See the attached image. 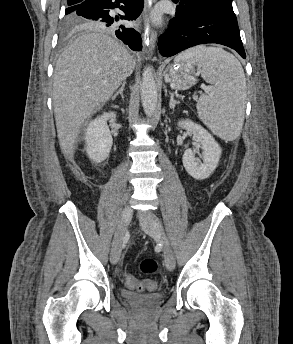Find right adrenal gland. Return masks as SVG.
<instances>
[{
	"mask_svg": "<svg viewBox=\"0 0 293 344\" xmlns=\"http://www.w3.org/2000/svg\"><path fill=\"white\" fill-rule=\"evenodd\" d=\"M125 85H126V82L124 81V82L122 83L121 88L112 96V99H113V100L116 99V97H117L118 95H121L122 100L124 101L123 92H124Z\"/></svg>",
	"mask_w": 293,
	"mask_h": 344,
	"instance_id": "obj_1",
	"label": "right adrenal gland"
}]
</instances>
